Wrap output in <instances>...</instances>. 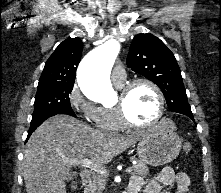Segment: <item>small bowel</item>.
<instances>
[{"label": "small bowel", "mask_w": 221, "mask_h": 193, "mask_svg": "<svg viewBox=\"0 0 221 193\" xmlns=\"http://www.w3.org/2000/svg\"><path fill=\"white\" fill-rule=\"evenodd\" d=\"M173 184H175L177 188L175 193H187L190 186V178L184 172L176 173L170 167H162L147 183L145 182L144 177H132L129 189L135 190L136 193H162L165 187Z\"/></svg>", "instance_id": "small-bowel-1"}]
</instances>
